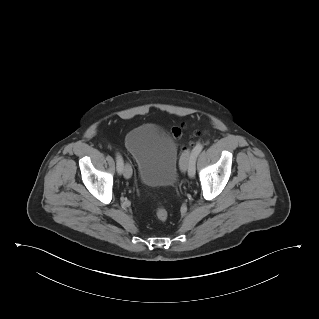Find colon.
I'll return each instance as SVG.
<instances>
[{
  "instance_id": "1",
  "label": "colon",
  "mask_w": 319,
  "mask_h": 319,
  "mask_svg": "<svg viewBox=\"0 0 319 319\" xmlns=\"http://www.w3.org/2000/svg\"><path fill=\"white\" fill-rule=\"evenodd\" d=\"M181 129L180 128H173L172 133L175 137H179L181 135ZM156 217L160 221L167 220L169 213L168 210L162 205L158 204L155 211Z\"/></svg>"
}]
</instances>
